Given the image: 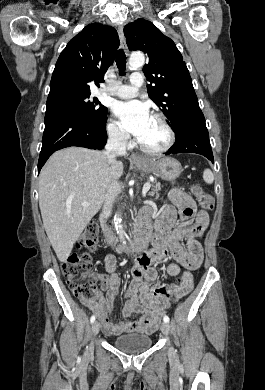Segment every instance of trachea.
<instances>
[{
  "label": "trachea",
  "instance_id": "trachea-1",
  "mask_svg": "<svg viewBox=\"0 0 265 390\" xmlns=\"http://www.w3.org/2000/svg\"><path fill=\"white\" fill-rule=\"evenodd\" d=\"M116 65L118 67L119 73L124 75L126 69V55L122 49H120L117 53Z\"/></svg>",
  "mask_w": 265,
  "mask_h": 390
}]
</instances>
